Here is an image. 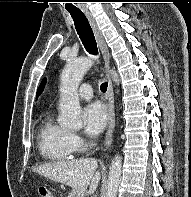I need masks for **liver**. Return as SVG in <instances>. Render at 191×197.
<instances>
[{"label":"liver","mask_w":191,"mask_h":197,"mask_svg":"<svg viewBox=\"0 0 191 197\" xmlns=\"http://www.w3.org/2000/svg\"><path fill=\"white\" fill-rule=\"evenodd\" d=\"M97 166L95 159L86 158L43 164L36 167L34 172L84 194L88 186L89 191L94 192L100 182L101 174L96 171Z\"/></svg>","instance_id":"obj_1"}]
</instances>
